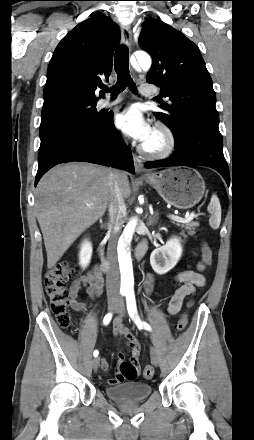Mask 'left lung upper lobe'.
Returning a JSON list of instances; mask_svg holds the SVG:
<instances>
[{
	"label": "left lung upper lobe",
	"instance_id": "obj_1",
	"mask_svg": "<svg viewBox=\"0 0 254 440\" xmlns=\"http://www.w3.org/2000/svg\"><path fill=\"white\" fill-rule=\"evenodd\" d=\"M140 47L152 56L146 80L169 98L155 116L180 138L190 120L218 125L216 96L199 48L180 31L155 19L145 21Z\"/></svg>",
	"mask_w": 254,
	"mask_h": 440
}]
</instances>
